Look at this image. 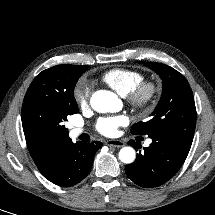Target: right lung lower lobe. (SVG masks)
<instances>
[{
    "mask_svg": "<svg viewBox=\"0 0 215 215\" xmlns=\"http://www.w3.org/2000/svg\"><path fill=\"white\" fill-rule=\"evenodd\" d=\"M101 147L102 143L98 141L91 144L68 141L59 150L52 172L45 177L62 187L79 183L90 172L94 155Z\"/></svg>",
    "mask_w": 215,
    "mask_h": 215,
    "instance_id": "1",
    "label": "right lung lower lobe"
}]
</instances>
